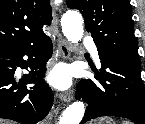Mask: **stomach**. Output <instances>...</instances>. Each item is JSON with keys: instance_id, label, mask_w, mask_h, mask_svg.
<instances>
[{"instance_id": "1", "label": "stomach", "mask_w": 145, "mask_h": 124, "mask_svg": "<svg viewBox=\"0 0 145 124\" xmlns=\"http://www.w3.org/2000/svg\"><path fill=\"white\" fill-rule=\"evenodd\" d=\"M94 124H115L111 119H102L98 123Z\"/></svg>"}]
</instances>
